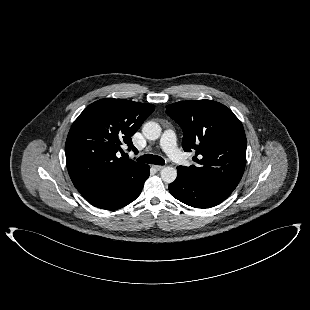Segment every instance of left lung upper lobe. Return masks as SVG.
Here are the masks:
<instances>
[{
	"label": "left lung upper lobe",
	"mask_w": 310,
	"mask_h": 310,
	"mask_svg": "<svg viewBox=\"0 0 310 310\" xmlns=\"http://www.w3.org/2000/svg\"><path fill=\"white\" fill-rule=\"evenodd\" d=\"M166 113L184 132V151H196V166L177 169L233 191L245 169L247 147L243 125L234 113L211 100L173 103L166 106Z\"/></svg>",
	"instance_id": "left-lung-upper-lobe-1"
}]
</instances>
